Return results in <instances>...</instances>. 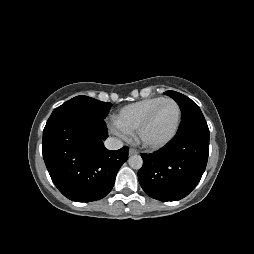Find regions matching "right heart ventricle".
I'll return each instance as SVG.
<instances>
[{
    "label": "right heart ventricle",
    "mask_w": 254,
    "mask_h": 254,
    "mask_svg": "<svg viewBox=\"0 0 254 254\" xmlns=\"http://www.w3.org/2000/svg\"><path fill=\"white\" fill-rule=\"evenodd\" d=\"M163 99L165 98L151 97L126 105L118 111L115 120L126 130L130 132L136 131L152 108Z\"/></svg>",
    "instance_id": "obj_1"
}]
</instances>
